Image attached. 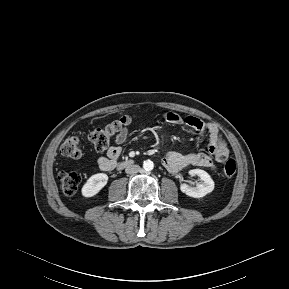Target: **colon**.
Returning <instances> with one entry per match:
<instances>
[{
    "mask_svg": "<svg viewBox=\"0 0 289 289\" xmlns=\"http://www.w3.org/2000/svg\"><path fill=\"white\" fill-rule=\"evenodd\" d=\"M132 122L131 116L125 115L119 119L113 120L103 127L90 132L86 137L80 135H71L65 139L60 147L63 156L69 158H79L83 154V140H86L91 148L96 152H103L109 149L110 141L123 129L127 128ZM236 171V162L228 159L223 167V173L227 178L234 175ZM61 188L66 195H73L77 192L81 174L76 171H64L59 174Z\"/></svg>",
    "mask_w": 289,
    "mask_h": 289,
    "instance_id": "1",
    "label": "colon"
}]
</instances>
